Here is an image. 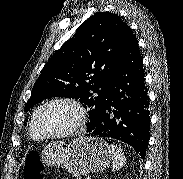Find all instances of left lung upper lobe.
Returning <instances> with one entry per match:
<instances>
[{
  "mask_svg": "<svg viewBox=\"0 0 183 179\" xmlns=\"http://www.w3.org/2000/svg\"><path fill=\"white\" fill-rule=\"evenodd\" d=\"M130 30L118 14L110 12H97L85 20L45 64L24 110L51 97L78 99L89 108L90 127L107 100Z\"/></svg>",
  "mask_w": 183,
  "mask_h": 179,
  "instance_id": "left-lung-upper-lobe-1",
  "label": "left lung upper lobe"
}]
</instances>
